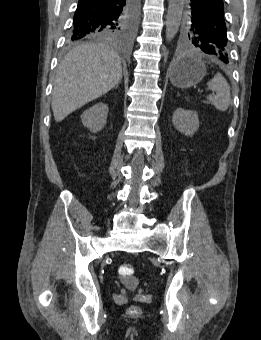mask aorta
I'll use <instances>...</instances> for the list:
<instances>
[{"label":"aorta","mask_w":261,"mask_h":340,"mask_svg":"<svg viewBox=\"0 0 261 340\" xmlns=\"http://www.w3.org/2000/svg\"><path fill=\"white\" fill-rule=\"evenodd\" d=\"M184 0H169L166 16V40L170 42L178 32Z\"/></svg>","instance_id":"1"}]
</instances>
